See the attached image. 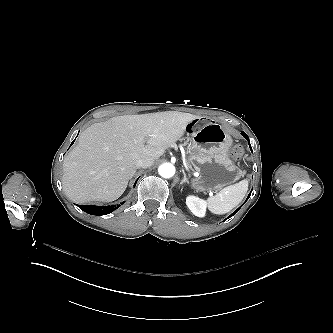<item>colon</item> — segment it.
Instances as JSON below:
<instances>
[{"mask_svg":"<svg viewBox=\"0 0 333 333\" xmlns=\"http://www.w3.org/2000/svg\"><path fill=\"white\" fill-rule=\"evenodd\" d=\"M243 152H244V150L241 145H235L234 148L232 149L231 154L234 159L238 160L241 158Z\"/></svg>","mask_w":333,"mask_h":333,"instance_id":"5ec220e1","label":"colon"}]
</instances>
